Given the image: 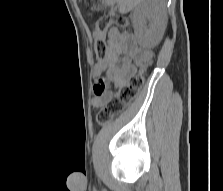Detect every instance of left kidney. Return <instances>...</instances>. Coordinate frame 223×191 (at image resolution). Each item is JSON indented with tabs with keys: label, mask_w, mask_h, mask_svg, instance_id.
<instances>
[{
	"label": "left kidney",
	"mask_w": 223,
	"mask_h": 191,
	"mask_svg": "<svg viewBox=\"0 0 223 191\" xmlns=\"http://www.w3.org/2000/svg\"><path fill=\"white\" fill-rule=\"evenodd\" d=\"M133 24L142 46L158 44L166 27V0L144 1L134 14Z\"/></svg>",
	"instance_id": "obj_1"
}]
</instances>
